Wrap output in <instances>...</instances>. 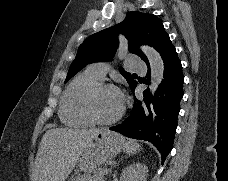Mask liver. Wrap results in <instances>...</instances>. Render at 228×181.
Listing matches in <instances>:
<instances>
[{
  "label": "liver",
  "instance_id": "obj_1",
  "mask_svg": "<svg viewBox=\"0 0 228 181\" xmlns=\"http://www.w3.org/2000/svg\"><path fill=\"white\" fill-rule=\"evenodd\" d=\"M103 129H50L35 157L32 181H65L96 133Z\"/></svg>",
  "mask_w": 228,
  "mask_h": 181
}]
</instances>
